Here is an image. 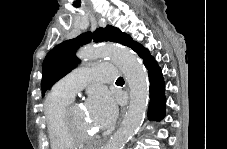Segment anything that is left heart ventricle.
Returning <instances> with one entry per match:
<instances>
[{"label": "left heart ventricle", "mask_w": 227, "mask_h": 149, "mask_svg": "<svg viewBox=\"0 0 227 149\" xmlns=\"http://www.w3.org/2000/svg\"><path fill=\"white\" fill-rule=\"evenodd\" d=\"M74 124L78 130L92 134L96 128L94 121L90 120L87 111L81 107H76L73 111Z\"/></svg>", "instance_id": "left-heart-ventricle-1"}]
</instances>
